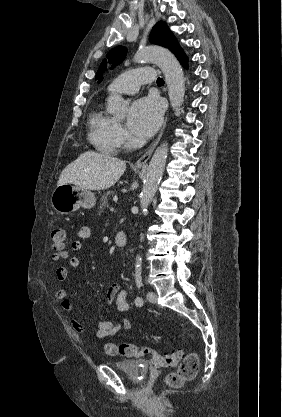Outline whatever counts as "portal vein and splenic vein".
Returning <instances> with one entry per match:
<instances>
[{"mask_svg":"<svg viewBox=\"0 0 282 417\" xmlns=\"http://www.w3.org/2000/svg\"><path fill=\"white\" fill-rule=\"evenodd\" d=\"M113 200H117V196H114Z\"/></svg>","mask_w":282,"mask_h":417,"instance_id":"18ae733b","label":"portal vein and splenic vein"}]
</instances>
